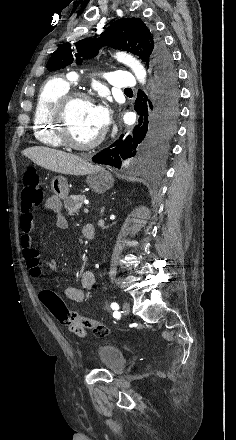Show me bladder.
<instances>
[{
  "label": "bladder",
  "instance_id": "1",
  "mask_svg": "<svg viewBox=\"0 0 236 440\" xmlns=\"http://www.w3.org/2000/svg\"><path fill=\"white\" fill-rule=\"evenodd\" d=\"M97 360L103 369L118 373L125 364L121 350L113 345H101L97 349Z\"/></svg>",
  "mask_w": 236,
  "mask_h": 440
}]
</instances>
